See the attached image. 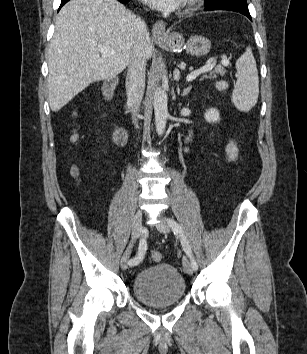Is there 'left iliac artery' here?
I'll use <instances>...</instances> for the list:
<instances>
[{
  "instance_id": "left-iliac-artery-1",
  "label": "left iliac artery",
  "mask_w": 307,
  "mask_h": 354,
  "mask_svg": "<svg viewBox=\"0 0 307 354\" xmlns=\"http://www.w3.org/2000/svg\"><path fill=\"white\" fill-rule=\"evenodd\" d=\"M167 221H168L170 227L173 229L174 234H178L180 236L182 247L190 259L191 267L194 271H196L198 269V264L194 258V255H193L192 250L190 248L189 242L186 239L181 226L173 219H167Z\"/></svg>"
}]
</instances>
